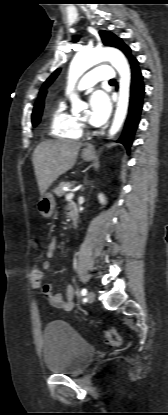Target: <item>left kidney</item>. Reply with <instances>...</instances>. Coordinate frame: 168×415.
Masks as SVG:
<instances>
[{"label":"left kidney","mask_w":168,"mask_h":415,"mask_svg":"<svg viewBox=\"0 0 168 415\" xmlns=\"http://www.w3.org/2000/svg\"><path fill=\"white\" fill-rule=\"evenodd\" d=\"M98 200L102 205L106 204V198L102 193L98 195Z\"/></svg>","instance_id":"obj_1"}]
</instances>
